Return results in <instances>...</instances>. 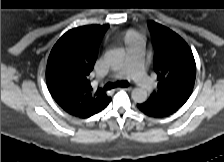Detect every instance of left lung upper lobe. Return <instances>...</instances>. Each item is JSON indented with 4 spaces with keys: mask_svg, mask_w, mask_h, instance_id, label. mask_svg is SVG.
<instances>
[{
    "mask_svg": "<svg viewBox=\"0 0 224 162\" xmlns=\"http://www.w3.org/2000/svg\"><path fill=\"white\" fill-rule=\"evenodd\" d=\"M154 46V67L158 89L147 105L180 108L190 97L195 77V60L186 42L170 29L148 23Z\"/></svg>",
    "mask_w": 224,
    "mask_h": 162,
    "instance_id": "left-lung-upper-lobe-1",
    "label": "left lung upper lobe"
}]
</instances>
